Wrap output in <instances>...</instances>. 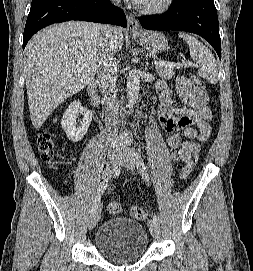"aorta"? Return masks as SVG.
I'll return each instance as SVG.
<instances>
[{"label":"aorta","instance_id":"762f6f07","mask_svg":"<svg viewBox=\"0 0 253 271\" xmlns=\"http://www.w3.org/2000/svg\"><path fill=\"white\" fill-rule=\"evenodd\" d=\"M140 89V77L136 69L130 70L127 77V101L128 107L133 108L137 102Z\"/></svg>","mask_w":253,"mask_h":271}]
</instances>
